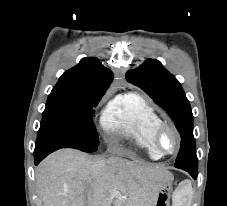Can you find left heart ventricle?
<instances>
[{
  "instance_id": "1",
  "label": "left heart ventricle",
  "mask_w": 227,
  "mask_h": 206,
  "mask_svg": "<svg viewBox=\"0 0 227 206\" xmlns=\"http://www.w3.org/2000/svg\"><path fill=\"white\" fill-rule=\"evenodd\" d=\"M164 150L171 152L175 147V138L171 132H166L161 141Z\"/></svg>"
}]
</instances>
